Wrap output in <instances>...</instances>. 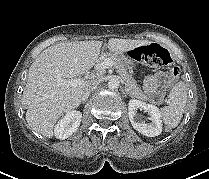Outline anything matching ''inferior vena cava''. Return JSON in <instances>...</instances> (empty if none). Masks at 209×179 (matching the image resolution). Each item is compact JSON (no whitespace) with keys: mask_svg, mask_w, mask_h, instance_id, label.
I'll return each instance as SVG.
<instances>
[{"mask_svg":"<svg viewBox=\"0 0 209 179\" xmlns=\"http://www.w3.org/2000/svg\"><path fill=\"white\" fill-rule=\"evenodd\" d=\"M100 84V80H92L82 95V100L85 101L90 93Z\"/></svg>","mask_w":209,"mask_h":179,"instance_id":"1","label":"inferior vena cava"}]
</instances>
